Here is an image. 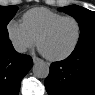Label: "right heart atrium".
Masks as SVG:
<instances>
[{"label": "right heart atrium", "mask_w": 95, "mask_h": 95, "mask_svg": "<svg viewBox=\"0 0 95 95\" xmlns=\"http://www.w3.org/2000/svg\"><path fill=\"white\" fill-rule=\"evenodd\" d=\"M8 38L18 52H26L36 44V40L27 32L24 25L11 20L6 26Z\"/></svg>", "instance_id": "d8ad5b80"}]
</instances>
